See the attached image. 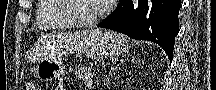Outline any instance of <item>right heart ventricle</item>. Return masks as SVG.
<instances>
[{
	"label": "right heart ventricle",
	"instance_id": "e07e8e85",
	"mask_svg": "<svg viewBox=\"0 0 216 90\" xmlns=\"http://www.w3.org/2000/svg\"><path fill=\"white\" fill-rule=\"evenodd\" d=\"M40 6L36 7V25L38 29H67L74 28L65 20L64 14H58L65 0H38Z\"/></svg>",
	"mask_w": 216,
	"mask_h": 90
}]
</instances>
